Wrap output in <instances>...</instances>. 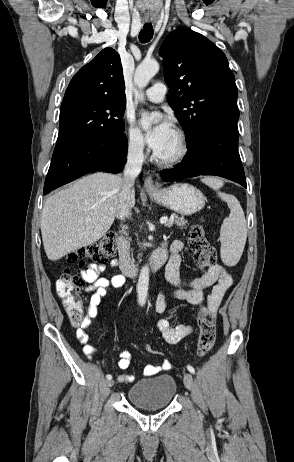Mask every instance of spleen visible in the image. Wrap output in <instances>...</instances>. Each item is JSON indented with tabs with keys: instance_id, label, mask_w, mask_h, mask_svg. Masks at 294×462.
Here are the masks:
<instances>
[{
	"instance_id": "1",
	"label": "spleen",
	"mask_w": 294,
	"mask_h": 462,
	"mask_svg": "<svg viewBox=\"0 0 294 462\" xmlns=\"http://www.w3.org/2000/svg\"><path fill=\"white\" fill-rule=\"evenodd\" d=\"M201 181L217 191L218 196L230 208V214L221 226L220 256L224 264L234 266L242 256L247 239V225L243 209L235 196L219 191L224 184L222 180L215 177H204Z\"/></svg>"
}]
</instances>
